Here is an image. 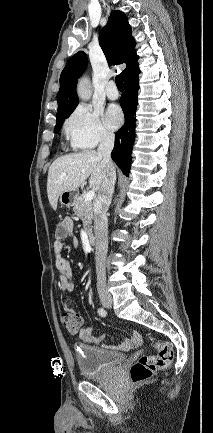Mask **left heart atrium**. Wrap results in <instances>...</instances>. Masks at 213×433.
Here are the masks:
<instances>
[{
  "mask_svg": "<svg viewBox=\"0 0 213 433\" xmlns=\"http://www.w3.org/2000/svg\"><path fill=\"white\" fill-rule=\"evenodd\" d=\"M107 125L113 129L118 128L123 122V114L120 108L116 105H111L105 116Z\"/></svg>",
  "mask_w": 213,
  "mask_h": 433,
  "instance_id": "obj_1",
  "label": "left heart atrium"
}]
</instances>
